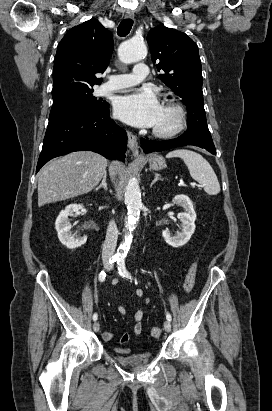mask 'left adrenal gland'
<instances>
[{
    "mask_svg": "<svg viewBox=\"0 0 272 411\" xmlns=\"http://www.w3.org/2000/svg\"><path fill=\"white\" fill-rule=\"evenodd\" d=\"M158 180H163V178H161V176L159 174H155L153 181L150 184V187L153 186V184L158 181Z\"/></svg>",
    "mask_w": 272,
    "mask_h": 411,
    "instance_id": "1",
    "label": "left adrenal gland"
}]
</instances>
